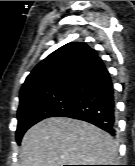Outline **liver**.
Wrapping results in <instances>:
<instances>
[{
    "mask_svg": "<svg viewBox=\"0 0 135 166\" xmlns=\"http://www.w3.org/2000/svg\"><path fill=\"white\" fill-rule=\"evenodd\" d=\"M20 166L113 165L112 137L85 121L51 117L31 127L21 143Z\"/></svg>",
    "mask_w": 135,
    "mask_h": 166,
    "instance_id": "liver-1",
    "label": "liver"
}]
</instances>
